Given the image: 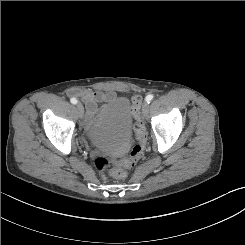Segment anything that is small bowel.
Segmentation results:
<instances>
[{
    "instance_id": "obj_1",
    "label": "small bowel",
    "mask_w": 245,
    "mask_h": 245,
    "mask_svg": "<svg viewBox=\"0 0 245 245\" xmlns=\"http://www.w3.org/2000/svg\"><path fill=\"white\" fill-rule=\"evenodd\" d=\"M82 98L86 104L87 119L91 120L98 111L99 103H105L103 107H106L107 103L114 101L117 96L114 92L85 91Z\"/></svg>"
}]
</instances>
